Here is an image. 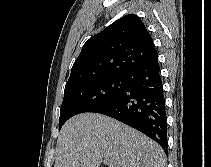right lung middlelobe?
Wrapping results in <instances>:
<instances>
[{
    "label": "right lung middle lobe",
    "mask_w": 211,
    "mask_h": 167,
    "mask_svg": "<svg viewBox=\"0 0 211 167\" xmlns=\"http://www.w3.org/2000/svg\"><path fill=\"white\" fill-rule=\"evenodd\" d=\"M126 86L125 76H107L65 89L60 109V128L76 114L95 112L105 106L121 94Z\"/></svg>",
    "instance_id": "obj_1"
}]
</instances>
